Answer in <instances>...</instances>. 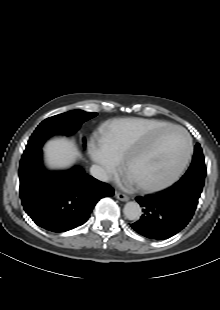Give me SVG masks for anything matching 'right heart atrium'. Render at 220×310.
I'll return each mask as SVG.
<instances>
[{
	"label": "right heart atrium",
	"mask_w": 220,
	"mask_h": 310,
	"mask_svg": "<svg viewBox=\"0 0 220 310\" xmlns=\"http://www.w3.org/2000/svg\"><path fill=\"white\" fill-rule=\"evenodd\" d=\"M92 155L94 160L100 164L107 173L115 174L117 172V161L105 148L102 146L94 147Z\"/></svg>",
	"instance_id": "obj_1"
}]
</instances>
